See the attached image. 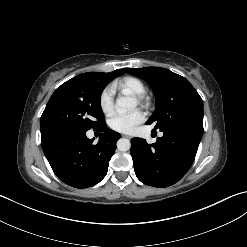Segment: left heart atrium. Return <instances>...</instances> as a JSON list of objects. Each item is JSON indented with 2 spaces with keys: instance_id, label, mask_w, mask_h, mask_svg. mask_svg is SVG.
<instances>
[{
  "instance_id": "39dd6f15",
  "label": "left heart atrium",
  "mask_w": 247,
  "mask_h": 247,
  "mask_svg": "<svg viewBox=\"0 0 247 247\" xmlns=\"http://www.w3.org/2000/svg\"><path fill=\"white\" fill-rule=\"evenodd\" d=\"M144 118L145 116L140 110H134L128 113H116L111 117L109 125L115 131L130 133L144 121Z\"/></svg>"
}]
</instances>
